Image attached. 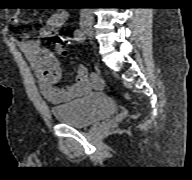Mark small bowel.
<instances>
[{
	"mask_svg": "<svg viewBox=\"0 0 192 180\" xmlns=\"http://www.w3.org/2000/svg\"><path fill=\"white\" fill-rule=\"evenodd\" d=\"M67 17L68 13L64 10L53 14L42 29V35L49 36L61 28ZM12 21L20 22L19 13L14 14ZM19 46L34 68L42 96L52 103L68 102L103 87L101 77L90 75L84 65L78 66L74 83L57 87L61 79V68L55 55L48 48L42 47L37 40L21 38Z\"/></svg>",
	"mask_w": 192,
	"mask_h": 180,
	"instance_id": "small-bowel-1",
	"label": "small bowel"
}]
</instances>
